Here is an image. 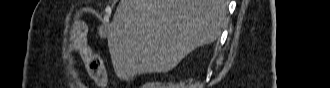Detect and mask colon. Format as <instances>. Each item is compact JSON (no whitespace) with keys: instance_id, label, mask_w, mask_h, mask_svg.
<instances>
[{"instance_id":"5ec220e1","label":"colon","mask_w":330,"mask_h":88,"mask_svg":"<svg viewBox=\"0 0 330 88\" xmlns=\"http://www.w3.org/2000/svg\"><path fill=\"white\" fill-rule=\"evenodd\" d=\"M69 40L74 51L80 52L83 55L86 70L89 76L99 85H105L108 78L102 63L100 55L86 45L82 34V29L79 25L73 27L69 31Z\"/></svg>"}]
</instances>
